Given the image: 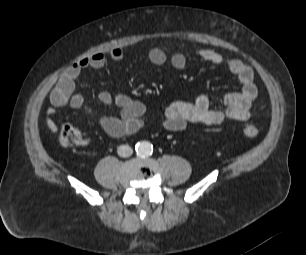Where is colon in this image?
Listing matches in <instances>:
<instances>
[{
  "mask_svg": "<svg viewBox=\"0 0 306 255\" xmlns=\"http://www.w3.org/2000/svg\"><path fill=\"white\" fill-rule=\"evenodd\" d=\"M243 133L248 138H255L258 135V129L253 125H247ZM59 142L62 147L69 148L79 145L83 142L81 132L70 124H64L60 129Z\"/></svg>",
  "mask_w": 306,
  "mask_h": 255,
  "instance_id": "5ec220e1",
  "label": "colon"
}]
</instances>
